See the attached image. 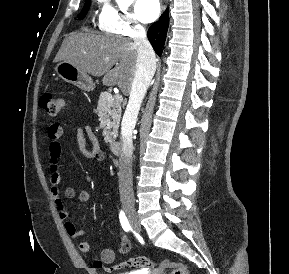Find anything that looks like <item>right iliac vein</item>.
Wrapping results in <instances>:
<instances>
[{
  "label": "right iliac vein",
  "mask_w": 289,
  "mask_h": 274,
  "mask_svg": "<svg viewBox=\"0 0 289 274\" xmlns=\"http://www.w3.org/2000/svg\"><path fill=\"white\" fill-rule=\"evenodd\" d=\"M122 203H123V207H124V211L128 217V220L132 226V228L140 233L141 231V227H140V224H139V221H138V217H137V214L135 212V209L131 203V201L127 198H123L122 199Z\"/></svg>",
  "instance_id": "1"
}]
</instances>
